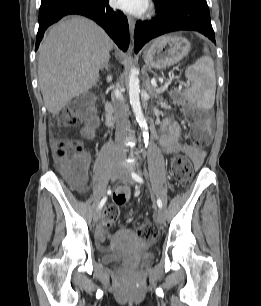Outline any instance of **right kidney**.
I'll use <instances>...</instances> for the list:
<instances>
[{
  "label": "right kidney",
  "instance_id": "ca27d5eb",
  "mask_svg": "<svg viewBox=\"0 0 261 306\" xmlns=\"http://www.w3.org/2000/svg\"><path fill=\"white\" fill-rule=\"evenodd\" d=\"M111 80H112V77H111V76H108V77H107V81L110 82Z\"/></svg>",
  "mask_w": 261,
  "mask_h": 306
}]
</instances>
